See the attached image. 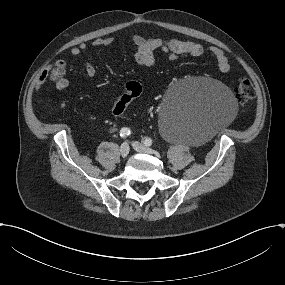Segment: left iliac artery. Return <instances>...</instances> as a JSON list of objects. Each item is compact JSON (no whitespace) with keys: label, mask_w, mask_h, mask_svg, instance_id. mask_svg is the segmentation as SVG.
Masks as SVG:
<instances>
[{"label":"left iliac artery","mask_w":285,"mask_h":285,"mask_svg":"<svg viewBox=\"0 0 285 285\" xmlns=\"http://www.w3.org/2000/svg\"><path fill=\"white\" fill-rule=\"evenodd\" d=\"M143 143L146 147H149L152 145L153 142L151 138H145Z\"/></svg>","instance_id":"left-iliac-artery-1"}]
</instances>
